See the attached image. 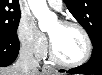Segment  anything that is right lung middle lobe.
I'll return each instance as SVG.
<instances>
[{
	"instance_id": "right-lung-middle-lobe-1",
	"label": "right lung middle lobe",
	"mask_w": 102,
	"mask_h": 75,
	"mask_svg": "<svg viewBox=\"0 0 102 75\" xmlns=\"http://www.w3.org/2000/svg\"><path fill=\"white\" fill-rule=\"evenodd\" d=\"M19 21L18 4L0 3V37L16 38Z\"/></svg>"
}]
</instances>
